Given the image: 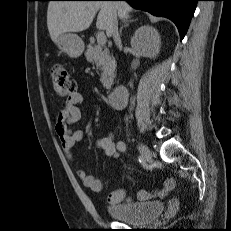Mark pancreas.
Masks as SVG:
<instances>
[{"label": "pancreas", "instance_id": "pancreas-1", "mask_svg": "<svg viewBox=\"0 0 231 231\" xmlns=\"http://www.w3.org/2000/svg\"><path fill=\"white\" fill-rule=\"evenodd\" d=\"M85 56L88 62L95 63L96 67L102 71L100 81L104 88L110 89L116 68L114 58L110 56L109 52L103 50L100 45H88Z\"/></svg>", "mask_w": 231, "mask_h": 231}]
</instances>
